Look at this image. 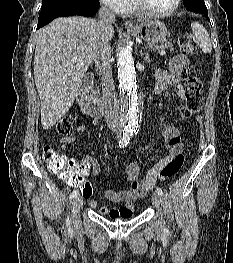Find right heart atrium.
I'll list each match as a JSON object with an SVG mask.
<instances>
[{
    "label": "right heart atrium",
    "mask_w": 233,
    "mask_h": 263,
    "mask_svg": "<svg viewBox=\"0 0 233 263\" xmlns=\"http://www.w3.org/2000/svg\"><path fill=\"white\" fill-rule=\"evenodd\" d=\"M105 6L117 14L127 11L130 6V0H100Z\"/></svg>",
    "instance_id": "obj_1"
}]
</instances>
